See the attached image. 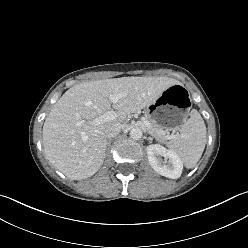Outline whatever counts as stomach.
Instances as JSON below:
<instances>
[{
    "label": "stomach",
    "mask_w": 248,
    "mask_h": 248,
    "mask_svg": "<svg viewBox=\"0 0 248 248\" xmlns=\"http://www.w3.org/2000/svg\"><path fill=\"white\" fill-rule=\"evenodd\" d=\"M191 100L182 84L168 87L157 100L149 105L146 116L167 131H178L187 121Z\"/></svg>",
    "instance_id": "stomach-1"
}]
</instances>
